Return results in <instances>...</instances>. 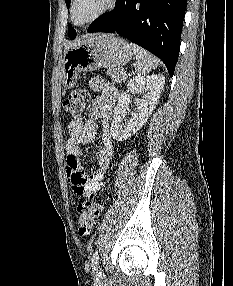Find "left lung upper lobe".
<instances>
[{
	"instance_id": "5c2ea615",
	"label": "left lung upper lobe",
	"mask_w": 233,
	"mask_h": 286,
	"mask_svg": "<svg viewBox=\"0 0 233 286\" xmlns=\"http://www.w3.org/2000/svg\"><path fill=\"white\" fill-rule=\"evenodd\" d=\"M71 0H65V3L67 5V7H69ZM68 33H69V37L70 39H74L76 37V31L75 29L72 27L71 24H68Z\"/></svg>"
}]
</instances>
